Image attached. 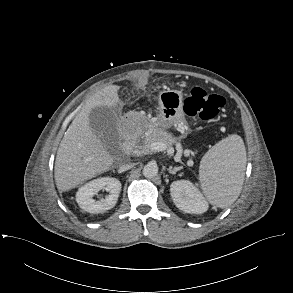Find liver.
Here are the masks:
<instances>
[{
	"label": "liver",
	"instance_id": "obj_1",
	"mask_svg": "<svg viewBox=\"0 0 293 293\" xmlns=\"http://www.w3.org/2000/svg\"><path fill=\"white\" fill-rule=\"evenodd\" d=\"M119 89L109 85L96 92L67 129L55 161L54 177L59 191H69L113 165V158L91 129L89 115L97 106H116L120 102Z\"/></svg>",
	"mask_w": 293,
	"mask_h": 293
}]
</instances>
